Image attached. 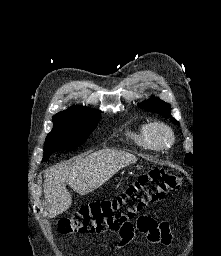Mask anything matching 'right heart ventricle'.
<instances>
[{
  "instance_id": "right-heart-ventricle-1",
  "label": "right heart ventricle",
  "mask_w": 221,
  "mask_h": 256,
  "mask_svg": "<svg viewBox=\"0 0 221 256\" xmlns=\"http://www.w3.org/2000/svg\"><path fill=\"white\" fill-rule=\"evenodd\" d=\"M126 138L131 143L145 150H155L156 147L152 143L149 136V124H138L134 128L127 130Z\"/></svg>"
}]
</instances>
